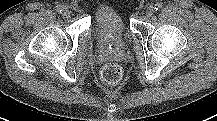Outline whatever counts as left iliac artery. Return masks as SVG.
Wrapping results in <instances>:
<instances>
[{
	"label": "left iliac artery",
	"instance_id": "left-iliac-artery-1",
	"mask_svg": "<svg viewBox=\"0 0 217 121\" xmlns=\"http://www.w3.org/2000/svg\"><path fill=\"white\" fill-rule=\"evenodd\" d=\"M161 8H162V4H161V3H156V4H155L154 9H155L156 11L161 10Z\"/></svg>",
	"mask_w": 217,
	"mask_h": 121
}]
</instances>
